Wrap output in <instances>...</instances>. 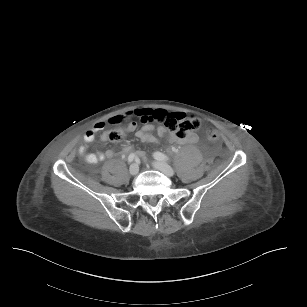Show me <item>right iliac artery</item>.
<instances>
[{"mask_svg":"<svg viewBox=\"0 0 307 307\" xmlns=\"http://www.w3.org/2000/svg\"><path fill=\"white\" fill-rule=\"evenodd\" d=\"M134 160H136V156H135V154H130L129 156H128V162L129 163H131V162H133Z\"/></svg>","mask_w":307,"mask_h":307,"instance_id":"right-iliac-artery-1","label":"right iliac artery"}]
</instances>
